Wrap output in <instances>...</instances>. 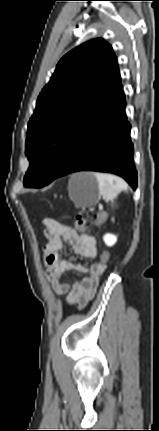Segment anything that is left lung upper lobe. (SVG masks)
<instances>
[{
	"label": "left lung upper lobe",
	"mask_w": 159,
	"mask_h": 431,
	"mask_svg": "<svg viewBox=\"0 0 159 431\" xmlns=\"http://www.w3.org/2000/svg\"><path fill=\"white\" fill-rule=\"evenodd\" d=\"M121 88L117 58L103 39L83 43L59 61L28 123L26 187H43L55 178L77 133Z\"/></svg>",
	"instance_id": "left-lung-upper-lobe-1"
}]
</instances>
